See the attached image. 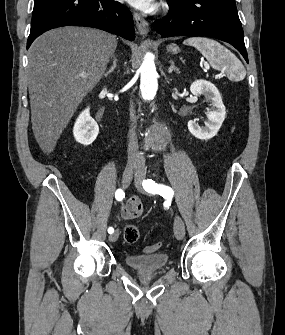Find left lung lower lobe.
Wrapping results in <instances>:
<instances>
[{"label":"left lung lower lobe","instance_id":"left-lung-lower-lobe-1","mask_svg":"<svg viewBox=\"0 0 285 335\" xmlns=\"http://www.w3.org/2000/svg\"><path fill=\"white\" fill-rule=\"evenodd\" d=\"M170 12L154 22L162 37L201 35L233 45L248 63L235 0H168Z\"/></svg>","mask_w":285,"mask_h":335}]
</instances>
